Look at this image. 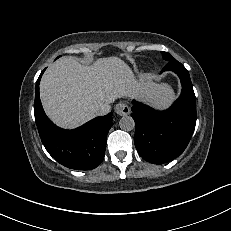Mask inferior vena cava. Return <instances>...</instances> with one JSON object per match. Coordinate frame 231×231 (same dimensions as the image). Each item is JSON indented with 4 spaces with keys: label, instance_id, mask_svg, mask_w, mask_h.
I'll use <instances>...</instances> for the list:
<instances>
[{
    "label": "inferior vena cava",
    "instance_id": "1",
    "mask_svg": "<svg viewBox=\"0 0 231 231\" xmlns=\"http://www.w3.org/2000/svg\"><path fill=\"white\" fill-rule=\"evenodd\" d=\"M109 111H110V106L108 105H102L94 109V113L96 116L106 115L109 113Z\"/></svg>",
    "mask_w": 231,
    "mask_h": 231
}]
</instances>
